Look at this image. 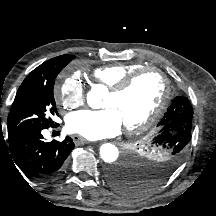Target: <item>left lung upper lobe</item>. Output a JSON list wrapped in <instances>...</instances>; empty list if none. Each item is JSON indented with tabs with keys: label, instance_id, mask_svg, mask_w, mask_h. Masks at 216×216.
Masks as SVG:
<instances>
[{
	"label": "left lung upper lobe",
	"instance_id": "5c2ea615",
	"mask_svg": "<svg viewBox=\"0 0 216 216\" xmlns=\"http://www.w3.org/2000/svg\"><path fill=\"white\" fill-rule=\"evenodd\" d=\"M192 117L193 109L189 100L177 96L158 123L160 131L153 139L152 146L160 156L169 158L168 163L165 164L167 168L175 164L191 140ZM153 184L154 182H140L135 179L133 195L146 192Z\"/></svg>",
	"mask_w": 216,
	"mask_h": 216
}]
</instances>
